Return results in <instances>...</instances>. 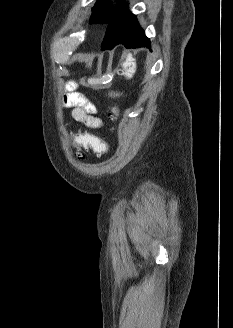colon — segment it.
Wrapping results in <instances>:
<instances>
[{
  "label": "colon",
  "mask_w": 233,
  "mask_h": 328,
  "mask_svg": "<svg viewBox=\"0 0 233 328\" xmlns=\"http://www.w3.org/2000/svg\"><path fill=\"white\" fill-rule=\"evenodd\" d=\"M134 71V60L131 56L125 57L124 61L121 64L120 73L121 75L129 78L132 76ZM119 116V109L114 107L112 109L111 117L114 121L117 120ZM74 143L79 150L90 149L96 155L104 154L107 151L106 143L100 139L99 137L91 134H79L75 137ZM77 156L79 159L84 158V154L82 152H78Z\"/></svg>",
  "instance_id": "colon-1"
}]
</instances>
